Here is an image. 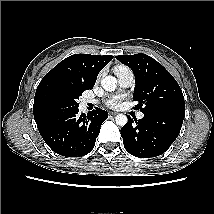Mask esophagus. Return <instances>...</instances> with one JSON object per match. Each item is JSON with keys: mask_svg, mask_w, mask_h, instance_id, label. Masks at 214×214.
<instances>
[{"mask_svg": "<svg viewBox=\"0 0 214 214\" xmlns=\"http://www.w3.org/2000/svg\"><path fill=\"white\" fill-rule=\"evenodd\" d=\"M110 115L115 116L117 113L116 112H109Z\"/></svg>", "mask_w": 214, "mask_h": 214, "instance_id": "1", "label": "esophagus"}]
</instances>
